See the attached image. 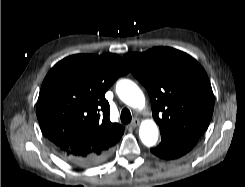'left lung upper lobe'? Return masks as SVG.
I'll use <instances>...</instances> for the list:
<instances>
[{"mask_svg": "<svg viewBox=\"0 0 245 187\" xmlns=\"http://www.w3.org/2000/svg\"><path fill=\"white\" fill-rule=\"evenodd\" d=\"M123 58L150 95L161 135L204 134L212 118L214 97L205 70L194 58L169 47Z\"/></svg>", "mask_w": 245, "mask_h": 187, "instance_id": "left-lung-upper-lobe-1", "label": "left lung upper lobe"}]
</instances>
